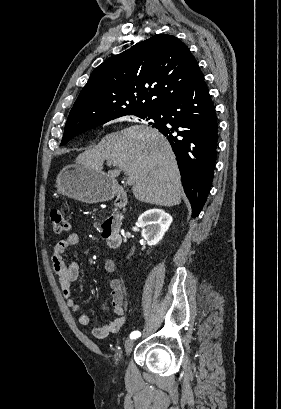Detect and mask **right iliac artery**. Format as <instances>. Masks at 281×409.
Instances as JSON below:
<instances>
[{
    "label": "right iliac artery",
    "mask_w": 281,
    "mask_h": 409,
    "mask_svg": "<svg viewBox=\"0 0 281 409\" xmlns=\"http://www.w3.org/2000/svg\"><path fill=\"white\" fill-rule=\"evenodd\" d=\"M140 335H141V333H140L139 331H133V332L130 334V338H131V339H136V338H138Z\"/></svg>",
    "instance_id": "obj_1"
}]
</instances>
